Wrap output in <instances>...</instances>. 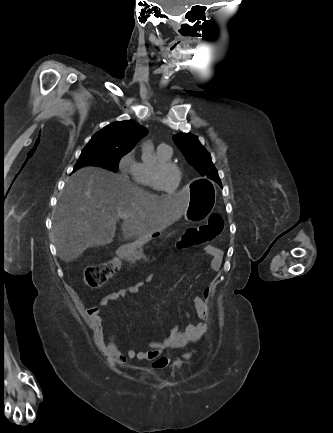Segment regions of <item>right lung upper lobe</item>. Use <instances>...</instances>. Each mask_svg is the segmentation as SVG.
I'll return each instance as SVG.
<instances>
[{"label": "right lung upper lobe", "instance_id": "obj_1", "mask_svg": "<svg viewBox=\"0 0 333 433\" xmlns=\"http://www.w3.org/2000/svg\"><path fill=\"white\" fill-rule=\"evenodd\" d=\"M148 130L132 120L110 123L97 132L89 141V146L115 148L130 152Z\"/></svg>", "mask_w": 333, "mask_h": 433}]
</instances>
